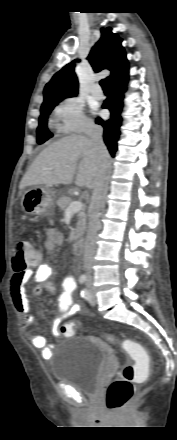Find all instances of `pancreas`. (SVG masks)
I'll list each match as a JSON object with an SVG mask.
<instances>
[{
	"mask_svg": "<svg viewBox=\"0 0 177 440\" xmlns=\"http://www.w3.org/2000/svg\"><path fill=\"white\" fill-rule=\"evenodd\" d=\"M73 202V200L70 197H61L58 201H57V206L59 207L60 210L66 212V210L68 209V206ZM78 217V222L76 225V229L74 230V239H78L80 238L85 231L86 228V214L84 211H81L78 213L77 215Z\"/></svg>",
	"mask_w": 177,
	"mask_h": 440,
	"instance_id": "cf45deb5",
	"label": "pancreas"
}]
</instances>
